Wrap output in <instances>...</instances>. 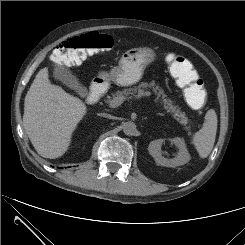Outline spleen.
Returning <instances> with one entry per match:
<instances>
[{"instance_id":"obj_1","label":"spleen","mask_w":245,"mask_h":245,"mask_svg":"<svg viewBox=\"0 0 245 245\" xmlns=\"http://www.w3.org/2000/svg\"><path fill=\"white\" fill-rule=\"evenodd\" d=\"M217 132V115L213 109L207 111L202 129L195 133L193 144L201 158L212 151Z\"/></svg>"}]
</instances>
